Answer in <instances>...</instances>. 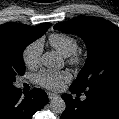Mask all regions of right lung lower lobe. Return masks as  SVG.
<instances>
[{
  "instance_id": "1",
  "label": "right lung lower lobe",
  "mask_w": 119,
  "mask_h": 119,
  "mask_svg": "<svg viewBox=\"0 0 119 119\" xmlns=\"http://www.w3.org/2000/svg\"><path fill=\"white\" fill-rule=\"evenodd\" d=\"M18 88H12L0 96V119H32V116L48 102L47 94L38 88L22 97Z\"/></svg>"
}]
</instances>
